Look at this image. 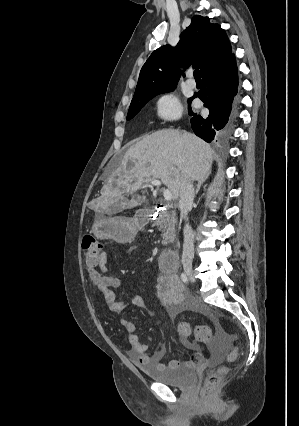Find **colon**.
<instances>
[{"instance_id":"obj_1","label":"colon","mask_w":299,"mask_h":426,"mask_svg":"<svg viewBox=\"0 0 299 426\" xmlns=\"http://www.w3.org/2000/svg\"><path fill=\"white\" fill-rule=\"evenodd\" d=\"M82 252L85 260L87 271L92 272L98 265L100 255L102 252V244L92 235H86L82 241ZM91 284L95 287L93 279H90ZM217 331L220 335H223V330L220 326H217ZM179 336L186 339L190 335H193L196 341L201 343H208L211 340L212 332L209 327L205 325L193 326L188 322H181L178 325ZM228 338L234 341L235 337L229 335ZM236 357V350H232L229 354V359L233 360ZM227 367L219 366L212 370L206 377L204 384L201 389V397L204 400H210L216 393L218 386L227 374Z\"/></svg>"}]
</instances>
